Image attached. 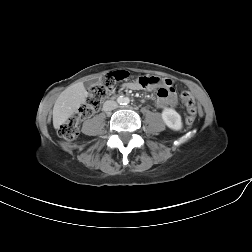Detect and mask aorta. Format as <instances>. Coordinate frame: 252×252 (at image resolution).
I'll list each match as a JSON object with an SVG mask.
<instances>
[{
	"mask_svg": "<svg viewBox=\"0 0 252 252\" xmlns=\"http://www.w3.org/2000/svg\"><path fill=\"white\" fill-rule=\"evenodd\" d=\"M127 103V99L126 98H122L121 100H120V104H126Z\"/></svg>",
	"mask_w": 252,
	"mask_h": 252,
	"instance_id": "1",
	"label": "aorta"
}]
</instances>
